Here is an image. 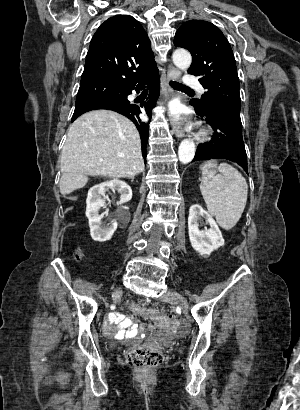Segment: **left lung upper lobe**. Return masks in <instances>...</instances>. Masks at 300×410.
<instances>
[{"label": "left lung upper lobe", "instance_id": "obj_1", "mask_svg": "<svg viewBox=\"0 0 300 410\" xmlns=\"http://www.w3.org/2000/svg\"><path fill=\"white\" fill-rule=\"evenodd\" d=\"M174 44L191 52L193 58L188 73L199 76V82L207 90L201 99L191 100L190 104L201 113L213 104L240 111L239 79L233 51L219 28L203 20L187 21L177 30Z\"/></svg>", "mask_w": 300, "mask_h": 410}]
</instances>
